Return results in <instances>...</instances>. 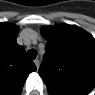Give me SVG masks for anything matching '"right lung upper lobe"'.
<instances>
[{"instance_id":"cb5924a9","label":"right lung upper lobe","mask_w":95,"mask_h":95,"mask_svg":"<svg viewBox=\"0 0 95 95\" xmlns=\"http://www.w3.org/2000/svg\"><path fill=\"white\" fill-rule=\"evenodd\" d=\"M18 27L0 23V94L19 95L27 76L36 71L25 56L24 47L16 42Z\"/></svg>"}]
</instances>
